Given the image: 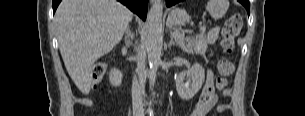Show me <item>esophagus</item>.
<instances>
[{
  "label": "esophagus",
  "mask_w": 305,
  "mask_h": 116,
  "mask_svg": "<svg viewBox=\"0 0 305 116\" xmlns=\"http://www.w3.org/2000/svg\"><path fill=\"white\" fill-rule=\"evenodd\" d=\"M150 2H151V3H154V2H156V0H150Z\"/></svg>",
  "instance_id": "esophagus-1"
}]
</instances>
